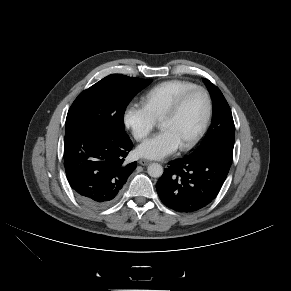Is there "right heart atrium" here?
I'll return each mask as SVG.
<instances>
[{"label":"right heart atrium","instance_id":"right-heart-atrium-1","mask_svg":"<svg viewBox=\"0 0 291 291\" xmlns=\"http://www.w3.org/2000/svg\"><path fill=\"white\" fill-rule=\"evenodd\" d=\"M123 123L137 141L145 139L156 125V121L143 105L136 103H130L124 109Z\"/></svg>","mask_w":291,"mask_h":291}]
</instances>
